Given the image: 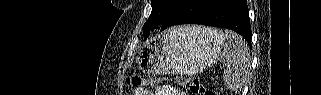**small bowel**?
<instances>
[{
  "mask_svg": "<svg viewBox=\"0 0 321 95\" xmlns=\"http://www.w3.org/2000/svg\"><path fill=\"white\" fill-rule=\"evenodd\" d=\"M150 93L145 92L142 89H137L136 90V95H148ZM158 95H184L183 92L179 91L175 87L171 86H163L159 89Z\"/></svg>",
  "mask_w": 321,
  "mask_h": 95,
  "instance_id": "c3829d8e",
  "label": "small bowel"
}]
</instances>
